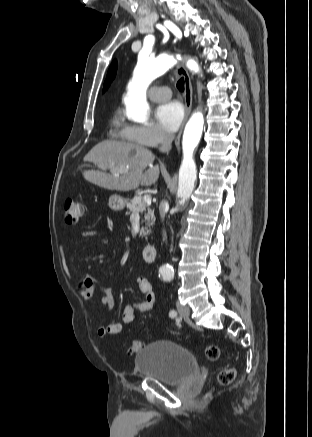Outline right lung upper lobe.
Wrapping results in <instances>:
<instances>
[{"label":"right lung upper lobe","mask_w":312,"mask_h":437,"mask_svg":"<svg viewBox=\"0 0 312 437\" xmlns=\"http://www.w3.org/2000/svg\"><path fill=\"white\" fill-rule=\"evenodd\" d=\"M116 69H117V62H116V60H114L111 64L109 70H108L107 77H106L104 87H103V91H105L109 87L111 81L114 79V77L116 75Z\"/></svg>","instance_id":"1"}]
</instances>
